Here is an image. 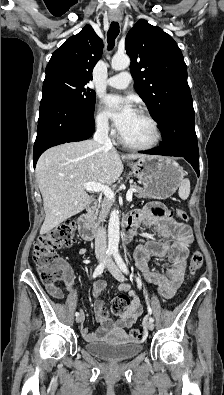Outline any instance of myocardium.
<instances>
[{
    "label": "myocardium",
    "instance_id": "myocardium-1",
    "mask_svg": "<svg viewBox=\"0 0 224 395\" xmlns=\"http://www.w3.org/2000/svg\"><path fill=\"white\" fill-rule=\"evenodd\" d=\"M138 114H140L142 117H144L152 126L153 128V139L151 140V142L147 143V144H134L131 143L129 141H127L122 134L119 131L118 134V139L120 141L121 144H123L125 147L132 149V150H137V151H147V150H151L153 148H155L161 139V130L159 127V124L157 122V120L145 109H138L136 111Z\"/></svg>",
    "mask_w": 224,
    "mask_h": 395
}]
</instances>
